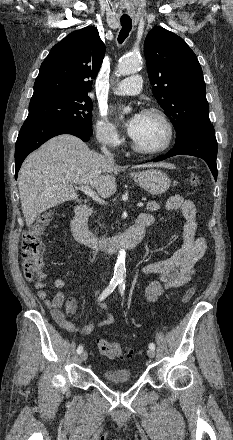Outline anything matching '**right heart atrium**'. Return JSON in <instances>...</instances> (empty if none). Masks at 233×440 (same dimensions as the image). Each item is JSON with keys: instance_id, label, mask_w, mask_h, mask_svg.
Returning a JSON list of instances; mask_svg holds the SVG:
<instances>
[{"instance_id": "obj_1", "label": "right heart atrium", "mask_w": 233, "mask_h": 440, "mask_svg": "<svg viewBox=\"0 0 233 440\" xmlns=\"http://www.w3.org/2000/svg\"><path fill=\"white\" fill-rule=\"evenodd\" d=\"M94 131L98 142L103 146L117 148L122 143L120 132L103 113L97 117Z\"/></svg>"}]
</instances>
